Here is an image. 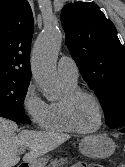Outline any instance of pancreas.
<instances>
[{"label":"pancreas","instance_id":"cf45deb5","mask_svg":"<svg viewBox=\"0 0 125 167\" xmlns=\"http://www.w3.org/2000/svg\"><path fill=\"white\" fill-rule=\"evenodd\" d=\"M67 164L66 158H60L59 160L54 159L50 161V164L47 167H63V165Z\"/></svg>","mask_w":125,"mask_h":167}]
</instances>
